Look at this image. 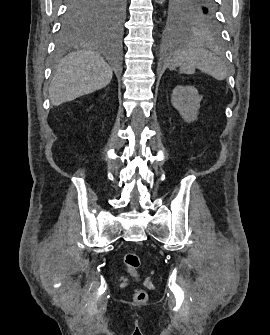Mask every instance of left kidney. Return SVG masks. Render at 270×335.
I'll use <instances>...</instances> for the list:
<instances>
[{
    "label": "left kidney",
    "mask_w": 270,
    "mask_h": 335,
    "mask_svg": "<svg viewBox=\"0 0 270 335\" xmlns=\"http://www.w3.org/2000/svg\"><path fill=\"white\" fill-rule=\"evenodd\" d=\"M202 96L194 86H176L172 92L171 104L178 110L185 122L197 120Z\"/></svg>",
    "instance_id": "5707ae66"
}]
</instances>
